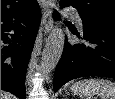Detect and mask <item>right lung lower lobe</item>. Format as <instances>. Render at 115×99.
I'll list each match as a JSON object with an SVG mask.
<instances>
[{
  "mask_svg": "<svg viewBox=\"0 0 115 99\" xmlns=\"http://www.w3.org/2000/svg\"><path fill=\"white\" fill-rule=\"evenodd\" d=\"M41 20L37 1L1 15V89L25 99V77Z\"/></svg>",
  "mask_w": 115,
  "mask_h": 99,
  "instance_id": "right-lung-lower-lobe-1",
  "label": "right lung lower lobe"
}]
</instances>
